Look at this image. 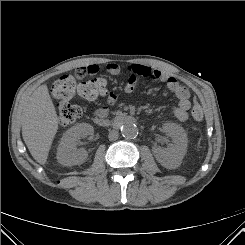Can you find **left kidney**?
I'll return each mask as SVG.
<instances>
[{
    "instance_id": "left-kidney-1",
    "label": "left kidney",
    "mask_w": 245,
    "mask_h": 245,
    "mask_svg": "<svg viewBox=\"0 0 245 245\" xmlns=\"http://www.w3.org/2000/svg\"><path fill=\"white\" fill-rule=\"evenodd\" d=\"M163 131L172 138L173 144L165 149H156L154 155L164 167H176L187 151L186 132L180 125L174 123L164 124Z\"/></svg>"
}]
</instances>
